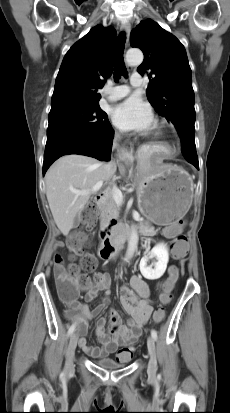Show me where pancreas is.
<instances>
[{"label":"pancreas","mask_w":230,"mask_h":413,"mask_svg":"<svg viewBox=\"0 0 230 413\" xmlns=\"http://www.w3.org/2000/svg\"><path fill=\"white\" fill-rule=\"evenodd\" d=\"M99 210L102 222H109L110 220L117 219L119 217V205L112 197V189L108 188L106 190L104 200L99 205ZM140 225L143 228V235H156L157 231L147 222H140Z\"/></svg>","instance_id":"cf45deb5"}]
</instances>
